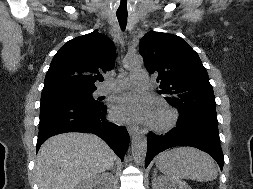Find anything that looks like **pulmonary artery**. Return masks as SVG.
Segmentation results:
<instances>
[{"instance_id": "e3ab8cb5", "label": "pulmonary artery", "mask_w": 253, "mask_h": 189, "mask_svg": "<svg viewBox=\"0 0 253 189\" xmlns=\"http://www.w3.org/2000/svg\"><path fill=\"white\" fill-rule=\"evenodd\" d=\"M130 80L140 86H146L149 82L148 75L146 73H135L130 79L120 78L116 82L106 81L97 91L98 95H106L113 90H120L125 88Z\"/></svg>"}]
</instances>
